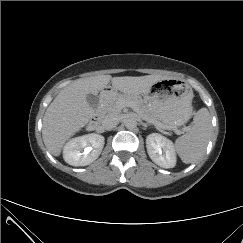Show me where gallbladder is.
Masks as SVG:
<instances>
[{
	"instance_id": "1",
	"label": "gallbladder",
	"mask_w": 243,
	"mask_h": 243,
	"mask_svg": "<svg viewBox=\"0 0 243 243\" xmlns=\"http://www.w3.org/2000/svg\"><path fill=\"white\" fill-rule=\"evenodd\" d=\"M86 99H87V102L89 103V105L93 109H96L98 107V105H99V97L97 95L88 94Z\"/></svg>"
}]
</instances>
